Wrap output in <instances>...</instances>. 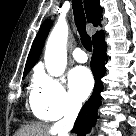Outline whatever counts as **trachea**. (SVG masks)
I'll use <instances>...</instances> for the list:
<instances>
[{
	"label": "trachea",
	"mask_w": 136,
	"mask_h": 136,
	"mask_svg": "<svg viewBox=\"0 0 136 136\" xmlns=\"http://www.w3.org/2000/svg\"><path fill=\"white\" fill-rule=\"evenodd\" d=\"M72 8L74 13L75 24L81 36V41L85 49L92 51L91 38L86 32V18L82 6V0H72Z\"/></svg>",
	"instance_id": "3493384b"
}]
</instances>
